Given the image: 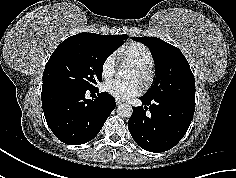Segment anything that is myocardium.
Segmentation results:
<instances>
[{
    "mask_svg": "<svg viewBox=\"0 0 236 178\" xmlns=\"http://www.w3.org/2000/svg\"><path fill=\"white\" fill-rule=\"evenodd\" d=\"M139 74V80L143 85L148 86L153 81V70L151 67L141 64H133Z\"/></svg>",
    "mask_w": 236,
    "mask_h": 178,
    "instance_id": "1",
    "label": "myocardium"
}]
</instances>
